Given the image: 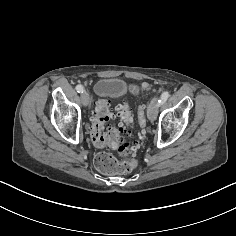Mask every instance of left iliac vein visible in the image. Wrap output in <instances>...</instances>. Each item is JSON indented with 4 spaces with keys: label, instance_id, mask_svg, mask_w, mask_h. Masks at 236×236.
<instances>
[{
    "label": "left iliac vein",
    "instance_id": "4c4485c4",
    "mask_svg": "<svg viewBox=\"0 0 236 236\" xmlns=\"http://www.w3.org/2000/svg\"><path fill=\"white\" fill-rule=\"evenodd\" d=\"M158 99L154 98L148 107V111H147V116L149 118V120L154 121L157 118L158 115Z\"/></svg>",
    "mask_w": 236,
    "mask_h": 236
}]
</instances>
